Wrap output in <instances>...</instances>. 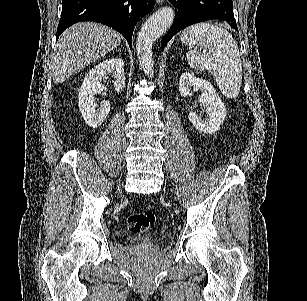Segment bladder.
Here are the masks:
<instances>
[{
  "mask_svg": "<svg viewBox=\"0 0 307 301\" xmlns=\"http://www.w3.org/2000/svg\"><path fill=\"white\" fill-rule=\"evenodd\" d=\"M159 239H160V236L158 234H155L149 238V240H152V241H157Z\"/></svg>",
  "mask_w": 307,
  "mask_h": 301,
  "instance_id": "obj_1",
  "label": "bladder"
}]
</instances>
